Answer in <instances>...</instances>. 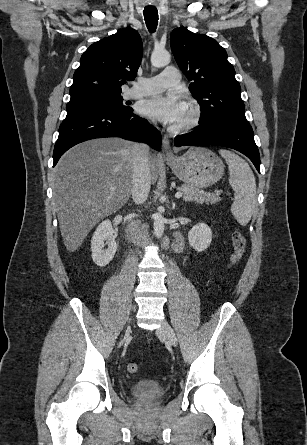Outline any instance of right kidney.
I'll return each mask as SVG.
<instances>
[{"instance_id": "1", "label": "right kidney", "mask_w": 307, "mask_h": 445, "mask_svg": "<svg viewBox=\"0 0 307 445\" xmlns=\"http://www.w3.org/2000/svg\"><path fill=\"white\" fill-rule=\"evenodd\" d=\"M116 237L117 231H114L111 220H102L91 241L92 259L98 267H106L112 261L117 251ZM105 241L108 249H103Z\"/></svg>"}]
</instances>
